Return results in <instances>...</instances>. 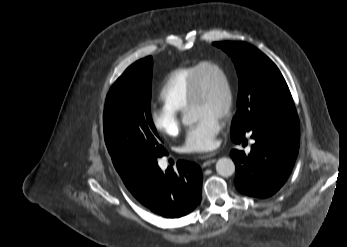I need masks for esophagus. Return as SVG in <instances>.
Returning a JSON list of instances; mask_svg holds the SVG:
<instances>
[{
	"label": "esophagus",
	"mask_w": 347,
	"mask_h": 247,
	"mask_svg": "<svg viewBox=\"0 0 347 247\" xmlns=\"http://www.w3.org/2000/svg\"><path fill=\"white\" fill-rule=\"evenodd\" d=\"M216 155L215 152H212V153H208V154H205L203 155L201 158L205 159L204 163H203V166L206 167V166H209L213 163L216 162V159L213 158L214 156Z\"/></svg>",
	"instance_id": "34e87169"
}]
</instances>
